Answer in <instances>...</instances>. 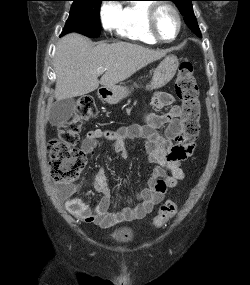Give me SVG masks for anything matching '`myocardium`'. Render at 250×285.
Here are the masks:
<instances>
[{"mask_svg":"<svg viewBox=\"0 0 250 285\" xmlns=\"http://www.w3.org/2000/svg\"><path fill=\"white\" fill-rule=\"evenodd\" d=\"M162 8H167L170 11H172L173 14L175 15L176 19H177V23H178L177 32L174 35V37L170 38V39H164L163 37H161L157 31V28H156L157 15H158L159 10ZM182 27H183V20H182L181 14H180L179 10L174 5H172L168 2L151 4L149 11H148V16H147V28H148V32H149L150 36L154 40H156L159 43H171L178 38V36L180 35V33L182 31Z\"/></svg>","mask_w":250,"mask_h":285,"instance_id":"obj_1","label":"myocardium"}]
</instances>
